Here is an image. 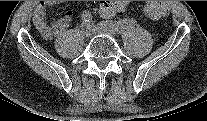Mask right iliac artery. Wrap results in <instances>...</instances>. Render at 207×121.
Returning <instances> with one entry per match:
<instances>
[{
    "label": "right iliac artery",
    "instance_id": "1",
    "mask_svg": "<svg viewBox=\"0 0 207 121\" xmlns=\"http://www.w3.org/2000/svg\"><path fill=\"white\" fill-rule=\"evenodd\" d=\"M81 18L82 20L85 22V23H88L91 25V20H92V15L91 13L87 12V11H84L82 14H81Z\"/></svg>",
    "mask_w": 207,
    "mask_h": 121
}]
</instances>
